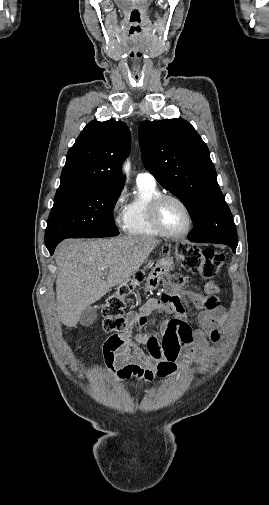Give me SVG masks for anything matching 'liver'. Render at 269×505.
<instances>
[{"mask_svg":"<svg viewBox=\"0 0 269 505\" xmlns=\"http://www.w3.org/2000/svg\"><path fill=\"white\" fill-rule=\"evenodd\" d=\"M159 243L152 237L137 236L61 242L55 251L59 270L57 312L61 322L74 327L86 307L100 300L111 287L129 281Z\"/></svg>","mask_w":269,"mask_h":505,"instance_id":"obj_1","label":"liver"}]
</instances>
